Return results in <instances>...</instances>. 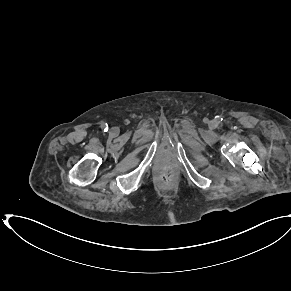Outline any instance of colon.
<instances>
[{"mask_svg": "<svg viewBox=\"0 0 291 291\" xmlns=\"http://www.w3.org/2000/svg\"><path fill=\"white\" fill-rule=\"evenodd\" d=\"M160 178L164 182H169L173 178V172L170 168H164L160 173Z\"/></svg>", "mask_w": 291, "mask_h": 291, "instance_id": "1", "label": "colon"}]
</instances>
